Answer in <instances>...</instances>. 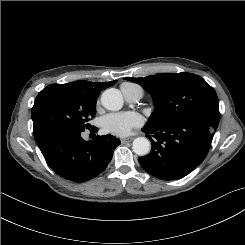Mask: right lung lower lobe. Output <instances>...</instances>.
<instances>
[{
	"label": "right lung lower lobe",
	"instance_id": "right-lung-lower-lobe-1",
	"mask_svg": "<svg viewBox=\"0 0 245 245\" xmlns=\"http://www.w3.org/2000/svg\"><path fill=\"white\" fill-rule=\"evenodd\" d=\"M97 129V128H95ZM120 140L110 134L85 141L81 132H53L38 146L55 173L74 182L88 181L99 175L112 159Z\"/></svg>",
	"mask_w": 245,
	"mask_h": 245
}]
</instances>
